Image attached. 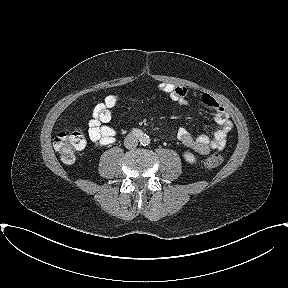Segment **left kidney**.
Listing matches in <instances>:
<instances>
[{
    "instance_id": "1",
    "label": "left kidney",
    "mask_w": 288,
    "mask_h": 288,
    "mask_svg": "<svg viewBox=\"0 0 288 288\" xmlns=\"http://www.w3.org/2000/svg\"><path fill=\"white\" fill-rule=\"evenodd\" d=\"M183 156L188 163L195 164L197 162L196 157L191 152H185Z\"/></svg>"
}]
</instances>
